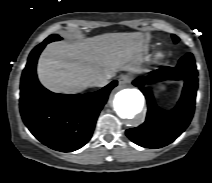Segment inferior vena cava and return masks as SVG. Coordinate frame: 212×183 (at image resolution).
I'll use <instances>...</instances> for the list:
<instances>
[{"instance_id": "obj_1", "label": "inferior vena cava", "mask_w": 212, "mask_h": 183, "mask_svg": "<svg viewBox=\"0 0 212 183\" xmlns=\"http://www.w3.org/2000/svg\"><path fill=\"white\" fill-rule=\"evenodd\" d=\"M113 76V73L99 74L93 78L92 85L96 87H104L110 82V79Z\"/></svg>"}]
</instances>
